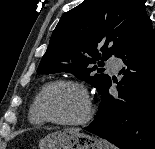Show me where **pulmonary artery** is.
I'll list each match as a JSON object with an SVG mask.
<instances>
[{"label":"pulmonary artery","instance_id":"1","mask_svg":"<svg viewBox=\"0 0 155 149\" xmlns=\"http://www.w3.org/2000/svg\"><path fill=\"white\" fill-rule=\"evenodd\" d=\"M120 65H121L120 61L116 58H110L107 61L108 68L114 72H117L120 69Z\"/></svg>","mask_w":155,"mask_h":149}]
</instances>
